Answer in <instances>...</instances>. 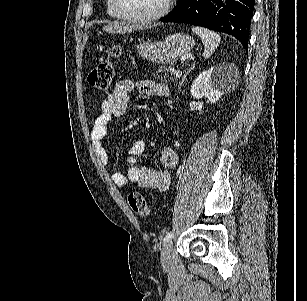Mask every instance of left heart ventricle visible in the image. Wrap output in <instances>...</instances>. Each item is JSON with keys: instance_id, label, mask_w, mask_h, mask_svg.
Returning a JSON list of instances; mask_svg holds the SVG:
<instances>
[{"instance_id": "obj_1", "label": "left heart ventricle", "mask_w": 307, "mask_h": 301, "mask_svg": "<svg viewBox=\"0 0 307 301\" xmlns=\"http://www.w3.org/2000/svg\"><path fill=\"white\" fill-rule=\"evenodd\" d=\"M166 0H118L122 4L121 13H149L159 11Z\"/></svg>"}]
</instances>
